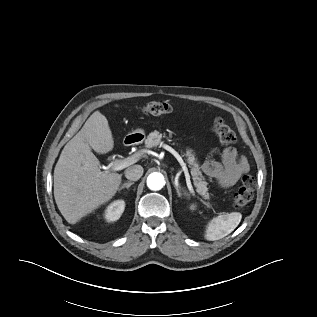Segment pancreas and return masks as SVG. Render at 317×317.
<instances>
[{
	"mask_svg": "<svg viewBox=\"0 0 317 317\" xmlns=\"http://www.w3.org/2000/svg\"><path fill=\"white\" fill-rule=\"evenodd\" d=\"M167 138V140L170 142L171 140L166 137L165 134H161L158 131L151 132L146 141L145 145L147 148H153L160 144H162V139ZM183 156H185L187 159V162L190 165V168L192 170L193 176H194V185L196 187V191L202 195L205 199L209 198L208 188H207V182L204 179V176L202 175V172L200 170L199 164L197 162V158L195 157V152L187 148L185 152H183Z\"/></svg>",
	"mask_w": 317,
	"mask_h": 317,
	"instance_id": "obj_1",
	"label": "pancreas"
}]
</instances>
